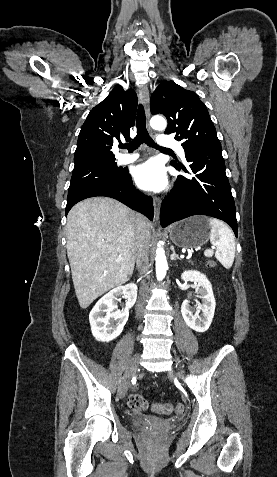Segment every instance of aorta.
<instances>
[{"instance_id":"1","label":"aorta","mask_w":277,"mask_h":477,"mask_svg":"<svg viewBox=\"0 0 277 477\" xmlns=\"http://www.w3.org/2000/svg\"><path fill=\"white\" fill-rule=\"evenodd\" d=\"M150 125L153 129L164 130L167 126V122L161 116H154L150 120ZM155 261H156V277L160 281L164 279L166 275V271L168 269L165 251L163 248L160 247V244H158V248L156 250Z\"/></svg>"}]
</instances>
